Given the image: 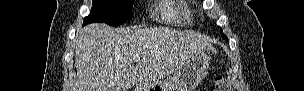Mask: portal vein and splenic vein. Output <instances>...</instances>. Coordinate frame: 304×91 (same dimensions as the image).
<instances>
[{
    "mask_svg": "<svg viewBox=\"0 0 304 91\" xmlns=\"http://www.w3.org/2000/svg\"><path fill=\"white\" fill-rule=\"evenodd\" d=\"M133 59H134V61H136V62L140 61V57H139V56H135Z\"/></svg>",
    "mask_w": 304,
    "mask_h": 91,
    "instance_id": "portal-vein-and-splenic-vein-1",
    "label": "portal vein and splenic vein"
}]
</instances>
